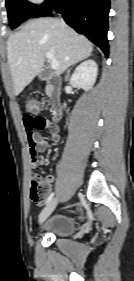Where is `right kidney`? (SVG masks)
I'll list each match as a JSON object with an SVG mask.
<instances>
[{
  "mask_svg": "<svg viewBox=\"0 0 134 281\" xmlns=\"http://www.w3.org/2000/svg\"><path fill=\"white\" fill-rule=\"evenodd\" d=\"M98 67L94 60H87L81 63L70 79V83L74 87H79L88 91L92 89L97 78ZM66 107V104L63 105Z\"/></svg>",
  "mask_w": 134,
  "mask_h": 281,
  "instance_id": "ca27d5eb",
  "label": "right kidney"
}]
</instances>
